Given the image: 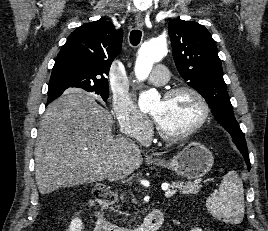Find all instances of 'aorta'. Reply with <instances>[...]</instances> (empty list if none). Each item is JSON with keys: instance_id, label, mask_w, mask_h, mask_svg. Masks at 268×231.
Returning a JSON list of instances; mask_svg holds the SVG:
<instances>
[{"instance_id": "762f6f07", "label": "aorta", "mask_w": 268, "mask_h": 231, "mask_svg": "<svg viewBox=\"0 0 268 231\" xmlns=\"http://www.w3.org/2000/svg\"><path fill=\"white\" fill-rule=\"evenodd\" d=\"M167 54V42L163 38L152 39L144 43L139 51L135 63V75L139 81H144L150 74L153 64L161 61ZM159 98L156 90L143 92L139 96L138 106L141 111H147L151 102Z\"/></svg>"}]
</instances>
